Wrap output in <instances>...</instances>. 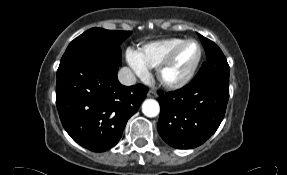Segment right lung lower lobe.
Segmentation results:
<instances>
[{
  "label": "right lung lower lobe",
  "mask_w": 287,
  "mask_h": 175,
  "mask_svg": "<svg viewBox=\"0 0 287 175\" xmlns=\"http://www.w3.org/2000/svg\"><path fill=\"white\" fill-rule=\"evenodd\" d=\"M119 63L104 57H86L59 66L56 105L71 138L93 152L112 148L128 119L137 112L148 88L121 85Z\"/></svg>",
  "instance_id": "obj_1"
}]
</instances>
